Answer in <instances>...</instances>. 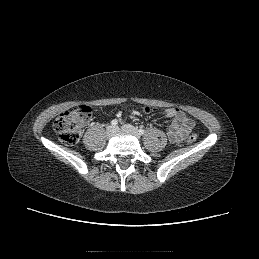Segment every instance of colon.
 <instances>
[{
    "label": "colon",
    "mask_w": 259,
    "mask_h": 259,
    "mask_svg": "<svg viewBox=\"0 0 259 259\" xmlns=\"http://www.w3.org/2000/svg\"><path fill=\"white\" fill-rule=\"evenodd\" d=\"M92 109L87 105L77 106L57 116L54 121V130L60 141L68 146L75 145L81 137L83 126L89 121ZM197 136L192 134L188 137L189 143H194Z\"/></svg>",
    "instance_id": "5ec220e1"
}]
</instances>
